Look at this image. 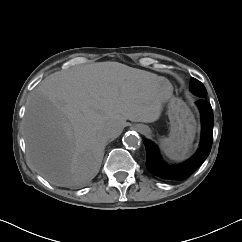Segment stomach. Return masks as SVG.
I'll list each match as a JSON object with an SVG mask.
<instances>
[{
  "label": "stomach",
  "instance_id": "obj_1",
  "mask_svg": "<svg viewBox=\"0 0 242 242\" xmlns=\"http://www.w3.org/2000/svg\"><path fill=\"white\" fill-rule=\"evenodd\" d=\"M165 103L170 120V135L160 140L161 145L164 149H172L177 154L185 156L189 153L195 138V118L180 98L171 96ZM137 127L149 131L145 125L139 124Z\"/></svg>",
  "mask_w": 242,
  "mask_h": 242
}]
</instances>
